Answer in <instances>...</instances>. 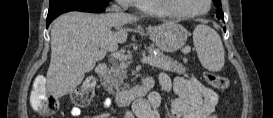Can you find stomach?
<instances>
[{
    "label": "stomach",
    "mask_w": 273,
    "mask_h": 118,
    "mask_svg": "<svg viewBox=\"0 0 273 118\" xmlns=\"http://www.w3.org/2000/svg\"><path fill=\"white\" fill-rule=\"evenodd\" d=\"M148 34L153 42L165 52H174L182 48L188 37V31L182 25L172 21L149 27Z\"/></svg>",
    "instance_id": "1"
}]
</instances>
